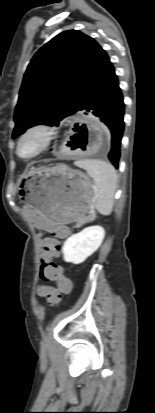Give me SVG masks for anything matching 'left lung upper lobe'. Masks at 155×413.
<instances>
[{"instance_id": "left-lung-upper-lobe-1", "label": "left lung upper lobe", "mask_w": 155, "mask_h": 413, "mask_svg": "<svg viewBox=\"0 0 155 413\" xmlns=\"http://www.w3.org/2000/svg\"><path fill=\"white\" fill-rule=\"evenodd\" d=\"M107 57L93 38L77 30L64 31L40 48L24 75L12 138L34 125H58L79 111Z\"/></svg>"}]
</instances>
